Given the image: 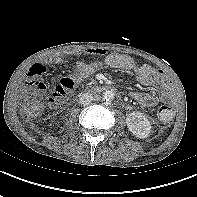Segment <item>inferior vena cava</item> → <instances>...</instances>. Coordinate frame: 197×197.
I'll return each mask as SVG.
<instances>
[{
    "instance_id": "602c4592",
    "label": "inferior vena cava",
    "mask_w": 197,
    "mask_h": 197,
    "mask_svg": "<svg viewBox=\"0 0 197 197\" xmlns=\"http://www.w3.org/2000/svg\"><path fill=\"white\" fill-rule=\"evenodd\" d=\"M93 100V97L89 93H82L79 96V101L83 105H88Z\"/></svg>"
}]
</instances>
